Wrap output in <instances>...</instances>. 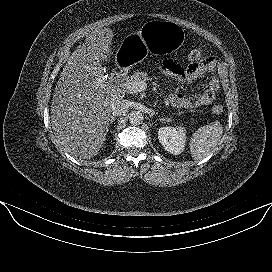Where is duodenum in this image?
<instances>
[{
    "label": "duodenum",
    "mask_w": 272,
    "mask_h": 272,
    "mask_svg": "<svg viewBox=\"0 0 272 272\" xmlns=\"http://www.w3.org/2000/svg\"><path fill=\"white\" fill-rule=\"evenodd\" d=\"M127 75V69L125 67H117L114 71V79L116 81H121L125 78V76Z\"/></svg>",
    "instance_id": "410a0bca"
}]
</instances>
